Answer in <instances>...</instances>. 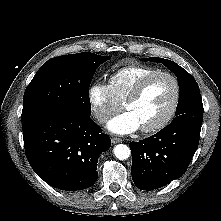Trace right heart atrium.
Returning <instances> with one entry per match:
<instances>
[{"mask_svg":"<svg viewBox=\"0 0 221 221\" xmlns=\"http://www.w3.org/2000/svg\"><path fill=\"white\" fill-rule=\"evenodd\" d=\"M87 98L92 114L101 124L120 108V103L112 94L110 87L101 82H94L89 86Z\"/></svg>","mask_w":221,"mask_h":221,"instance_id":"1","label":"right heart atrium"}]
</instances>
